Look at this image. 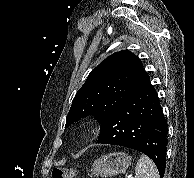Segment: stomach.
<instances>
[{
    "label": "stomach",
    "instance_id": "0dacf381",
    "mask_svg": "<svg viewBox=\"0 0 194 178\" xmlns=\"http://www.w3.org/2000/svg\"><path fill=\"white\" fill-rule=\"evenodd\" d=\"M132 157L125 152H113L103 155L94 161L92 173L102 178L125 173L131 165Z\"/></svg>",
    "mask_w": 194,
    "mask_h": 178
}]
</instances>
